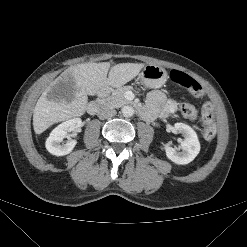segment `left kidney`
<instances>
[{
  "instance_id": "1",
  "label": "left kidney",
  "mask_w": 247,
  "mask_h": 247,
  "mask_svg": "<svg viewBox=\"0 0 247 247\" xmlns=\"http://www.w3.org/2000/svg\"><path fill=\"white\" fill-rule=\"evenodd\" d=\"M172 132L182 134L184 139L181 141L179 146V150L181 149V151H177L175 148L166 145V156L172 162L179 165L190 163L195 159L200 151V142L196 132L184 123H175Z\"/></svg>"
}]
</instances>
